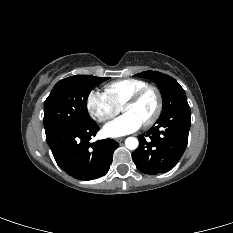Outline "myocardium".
<instances>
[{"mask_svg":"<svg viewBox=\"0 0 233 233\" xmlns=\"http://www.w3.org/2000/svg\"><path fill=\"white\" fill-rule=\"evenodd\" d=\"M149 91H152L155 93L156 98H157V107H156L154 114L151 116V118L142 124L143 127H149L153 125L159 119L162 113L163 99H162V94L159 88L152 86V85H146L138 89L137 91H135L132 95H130L121 106V110L123 111V109L126 108L127 106L135 104L145 93Z\"/></svg>","mask_w":233,"mask_h":233,"instance_id":"1","label":"myocardium"}]
</instances>
